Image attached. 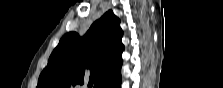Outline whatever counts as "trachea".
Instances as JSON below:
<instances>
[{"label": "trachea", "mask_w": 223, "mask_h": 88, "mask_svg": "<svg viewBox=\"0 0 223 88\" xmlns=\"http://www.w3.org/2000/svg\"><path fill=\"white\" fill-rule=\"evenodd\" d=\"M92 86H93V83L90 82V83L88 84V88H91Z\"/></svg>", "instance_id": "1"}]
</instances>
